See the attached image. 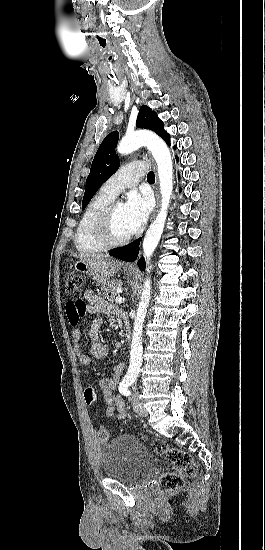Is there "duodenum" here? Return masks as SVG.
<instances>
[{
    "label": "duodenum",
    "instance_id": "410a0bca",
    "mask_svg": "<svg viewBox=\"0 0 265 550\" xmlns=\"http://www.w3.org/2000/svg\"><path fill=\"white\" fill-rule=\"evenodd\" d=\"M124 330H125V336L126 338H129L130 337V325H129V322L128 321H125V324H124Z\"/></svg>",
    "mask_w": 265,
    "mask_h": 550
}]
</instances>
